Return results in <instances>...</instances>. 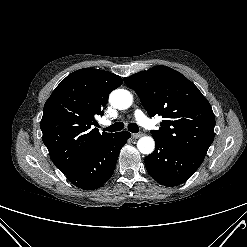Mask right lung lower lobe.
<instances>
[{"label":"right lung lower lobe","mask_w":247,"mask_h":247,"mask_svg":"<svg viewBox=\"0 0 247 247\" xmlns=\"http://www.w3.org/2000/svg\"><path fill=\"white\" fill-rule=\"evenodd\" d=\"M130 137L123 131L114 133L94 147L70 171L65 173L68 180L83 190L101 187L111 177L120 149Z\"/></svg>","instance_id":"1"}]
</instances>
